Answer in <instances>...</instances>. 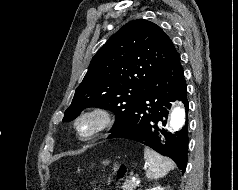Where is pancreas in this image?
Returning a JSON list of instances; mask_svg holds the SVG:
<instances>
[{"mask_svg": "<svg viewBox=\"0 0 238 190\" xmlns=\"http://www.w3.org/2000/svg\"><path fill=\"white\" fill-rule=\"evenodd\" d=\"M137 186H139V181L137 179H133L130 177L125 181V183L122 186V190H134Z\"/></svg>", "mask_w": 238, "mask_h": 190, "instance_id": "pancreas-1", "label": "pancreas"}]
</instances>
